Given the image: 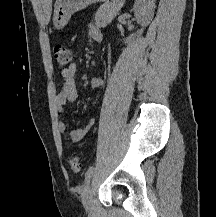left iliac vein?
<instances>
[{
  "label": "left iliac vein",
  "mask_w": 216,
  "mask_h": 217,
  "mask_svg": "<svg viewBox=\"0 0 216 217\" xmlns=\"http://www.w3.org/2000/svg\"><path fill=\"white\" fill-rule=\"evenodd\" d=\"M82 203L86 210H89L92 205V187L90 182L84 188L82 195Z\"/></svg>",
  "instance_id": "obj_1"
}]
</instances>
